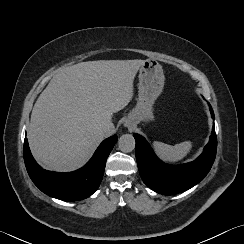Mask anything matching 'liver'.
<instances>
[{
    "mask_svg": "<svg viewBox=\"0 0 244 244\" xmlns=\"http://www.w3.org/2000/svg\"><path fill=\"white\" fill-rule=\"evenodd\" d=\"M144 60H98L62 68L38 97L27 129L30 150L45 169L85 165L105 138L102 124L128 105Z\"/></svg>",
    "mask_w": 244,
    "mask_h": 244,
    "instance_id": "1",
    "label": "liver"
}]
</instances>
